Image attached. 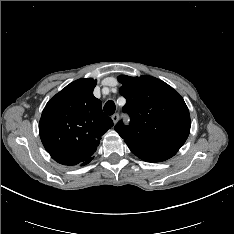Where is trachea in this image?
<instances>
[{
  "mask_svg": "<svg viewBox=\"0 0 234 234\" xmlns=\"http://www.w3.org/2000/svg\"><path fill=\"white\" fill-rule=\"evenodd\" d=\"M115 109H116V106H115V103L112 100L107 101L106 104L104 105V112L107 115L114 114Z\"/></svg>",
  "mask_w": 234,
  "mask_h": 234,
  "instance_id": "3493384b",
  "label": "trachea"
}]
</instances>
